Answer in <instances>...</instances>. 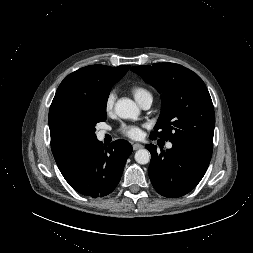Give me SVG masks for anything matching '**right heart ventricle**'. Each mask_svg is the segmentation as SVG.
<instances>
[{"label":"right heart ventricle","mask_w":253,"mask_h":253,"mask_svg":"<svg viewBox=\"0 0 253 253\" xmlns=\"http://www.w3.org/2000/svg\"><path fill=\"white\" fill-rule=\"evenodd\" d=\"M130 92L132 93L135 100L141 104L144 100L151 98V92L144 86L141 85H134L130 88Z\"/></svg>","instance_id":"1"}]
</instances>
